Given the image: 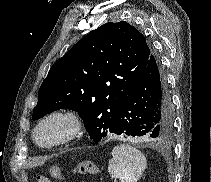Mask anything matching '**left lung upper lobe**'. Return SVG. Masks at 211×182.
Here are the masks:
<instances>
[{
  "mask_svg": "<svg viewBox=\"0 0 211 182\" xmlns=\"http://www.w3.org/2000/svg\"><path fill=\"white\" fill-rule=\"evenodd\" d=\"M151 53L145 37L127 22H108L91 31L51 67L33 119L59 109L77 111L90 137L99 142L112 132L115 116Z\"/></svg>",
  "mask_w": 211,
  "mask_h": 182,
  "instance_id": "obj_1",
  "label": "left lung upper lobe"
}]
</instances>
